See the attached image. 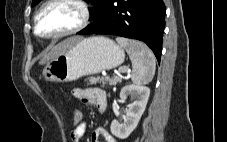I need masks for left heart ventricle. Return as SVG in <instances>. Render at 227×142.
<instances>
[{
  "label": "left heart ventricle",
  "mask_w": 227,
  "mask_h": 142,
  "mask_svg": "<svg viewBox=\"0 0 227 142\" xmlns=\"http://www.w3.org/2000/svg\"><path fill=\"white\" fill-rule=\"evenodd\" d=\"M80 9L73 3H56L46 7L39 16L38 30L45 35L56 34L76 26Z\"/></svg>",
  "instance_id": "obj_1"
}]
</instances>
